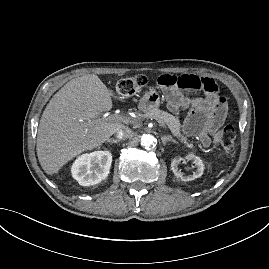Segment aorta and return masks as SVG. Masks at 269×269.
<instances>
[{
  "label": "aorta",
  "mask_w": 269,
  "mask_h": 269,
  "mask_svg": "<svg viewBox=\"0 0 269 269\" xmlns=\"http://www.w3.org/2000/svg\"><path fill=\"white\" fill-rule=\"evenodd\" d=\"M156 138L151 134H143L141 136V145L143 147H151L155 145Z\"/></svg>",
  "instance_id": "aorta-1"
}]
</instances>
